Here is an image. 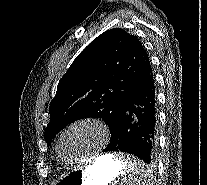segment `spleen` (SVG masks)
Masks as SVG:
<instances>
[{
  "instance_id": "1",
  "label": "spleen",
  "mask_w": 207,
  "mask_h": 185,
  "mask_svg": "<svg viewBox=\"0 0 207 185\" xmlns=\"http://www.w3.org/2000/svg\"><path fill=\"white\" fill-rule=\"evenodd\" d=\"M116 158L123 167L120 185H146L147 179H156V174H149L151 166H145L144 159H134L135 153H116Z\"/></svg>"
}]
</instances>
